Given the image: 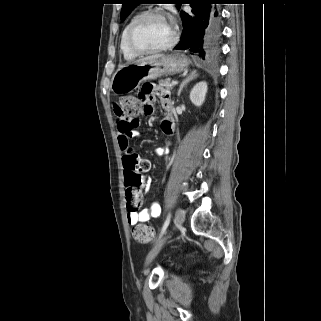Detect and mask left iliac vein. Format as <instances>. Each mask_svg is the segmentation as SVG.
Here are the masks:
<instances>
[{
	"label": "left iliac vein",
	"instance_id": "obj_1",
	"mask_svg": "<svg viewBox=\"0 0 321 321\" xmlns=\"http://www.w3.org/2000/svg\"><path fill=\"white\" fill-rule=\"evenodd\" d=\"M185 220L184 212L181 209H177L175 213V227L179 228L182 226L183 222ZM170 237V235L163 238L147 255L145 265L148 266L152 260L156 257V255L159 253V251L162 249L164 244L166 243L167 239Z\"/></svg>",
	"mask_w": 321,
	"mask_h": 321
}]
</instances>
